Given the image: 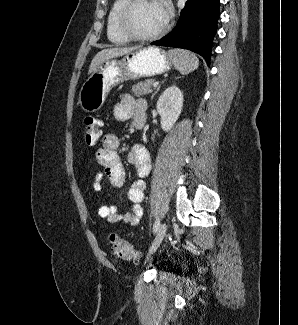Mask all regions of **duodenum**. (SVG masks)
<instances>
[{"label": "duodenum", "mask_w": 298, "mask_h": 325, "mask_svg": "<svg viewBox=\"0 0 298 325\" xmlns=\"http://www.w3.org/2000/svg\"><path fill=\"white\" fill-rule=\"evenodd\" d=\"M147 109L148 107L145 102H138L134 108L135 124L139 129H141L145 124Z\"/></svg>", "instance_id": "obj_1"}]
</instances>
